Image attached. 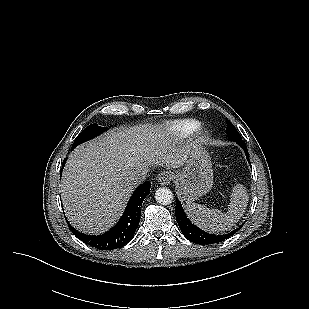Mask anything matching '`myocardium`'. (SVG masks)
<instances>
[{"mask_svg":"<svg viewBox=\"0 0 309 309\" xmlns=\"http://www.w3.org/2000/svg\"><path fill=\"white\" fill-rule=\"evenodd\" d=\"M209 134H208V131H206L205 129H200L198 132H197V139L198 141L200 142H204L207 140Z\"/></svg>","mask_w":309,"mask_h":309,"instance_id":"myocardium-1","label":"myocardium"}]
</instances>
